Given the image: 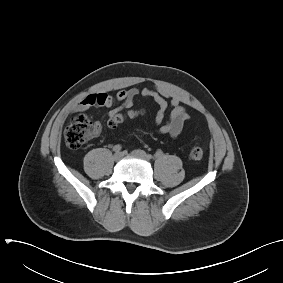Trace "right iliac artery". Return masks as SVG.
Returning a JSON list of instances; mask_svg holds the SVG:
<instances>
[{
    "label": "right iliac artery",
    "mask_w": 283,
    "mask_h": 283,
    "mask_svg": "<svg viewBox=\"0 0 283 283\" xmlns=\"http://www.w3.org/2000/svg\"><path fill=\"white\" fill-rule=\"evenodd\" d=\"M121 149H122V146L121 145H115L114 147H113V151H115V152H119V151H121Z\"/></svg>",
    "instance_id": "1"
}]
</instances>
